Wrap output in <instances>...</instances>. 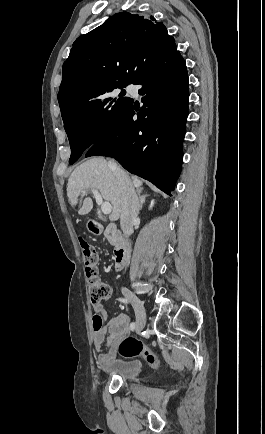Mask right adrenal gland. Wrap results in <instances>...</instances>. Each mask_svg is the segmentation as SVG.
<instances>
[{"instance_id": "1", "label": "right adrenal gland", "mask_w": 265, "mask_h": 434, "mask_svg": "<svg viewBox=\"0 0 265 434\" xmlns=\"http://www.w3.org/2000/svg\"><path fill=\"white\" fill-rule=\"evenodd\" d=\"M138 196H139V204H140L139 210H142V206L143 204H145V198L146 196H148V194H145V196H140V192H138Z\"/></svg>"}]
</instances>
